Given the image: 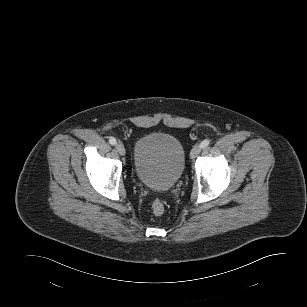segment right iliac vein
Here are the masks:
<instances>
[{"instance_id": "obj_1", "label": "right iliac vein", "mask_w": 307, "mask_h": 307, "mask_svg": "<svg viewBox=\"0 0 307 307\" xmlns=\"http://www.w3.org/2000/svg\"><path fill=\"white\" fill-rule=\"evenodd\" d=\"M116 150L118 151V153L120 155H125L126 151H125V148H124V145L122 143H117L116 144Z\"/></svg>"}]
</instances>
